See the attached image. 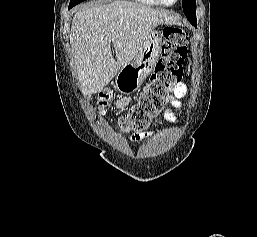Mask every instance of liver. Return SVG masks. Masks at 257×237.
I'll return each instance as SVG.
<instances>
[{
	"label": "liver",
	"instance_id": "obj_1",
	"mask_svg": "<svg viewBox=\"0 0 257 237\" xmlns=\"http://www.w3.org/2000/svg\"><path fill=\"white\" fill-rule=\"evenodd\" d=\"M172 23L179 22L167 11L126 1L81 7L73 17L70 44L82 93L102 91L135 59L156 26Z\"/></svg>",
	"mask_w": 257,
	"mask_h": 237
}]
</instances>
